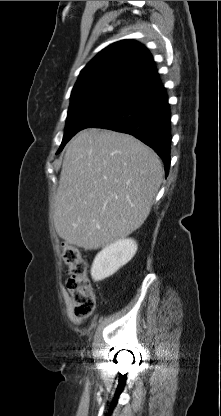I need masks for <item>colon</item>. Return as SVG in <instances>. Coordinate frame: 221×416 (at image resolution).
<instances>
[{
  "label": "colon",
  "instance_id": "obj_1",
  "mask_svg": "<svg viewBox=\"0 0 221 416\" xmlns=\"http://www.w3.org/2000/svg\"><path fill=\"white\" fill-rule=\"evenodd\" d=\"M60 254L68 266L66 287L72 311L77 317H88L95 308V294L88 276V262L73 244L63 243Z\"/></svg>",
  "mask_w": 221,
  "mask_h": 416
}]
</instances>
